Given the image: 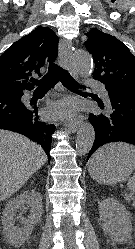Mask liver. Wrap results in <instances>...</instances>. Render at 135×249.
<instances>
[{"mask_svg":"<svg viewBox=\"0 0 135 249\" xmlns=\"http://www.w3.org/2000/svg\"><path fill=\"white\" fill-rule=\"evenodd\" d=\"M40 145L0 130V202L15 194L46 162Z\"/></svg>","mask_w":135,"mask_h":249,"instance_id":"6515ba94","label":"liver"}]
</instances>
